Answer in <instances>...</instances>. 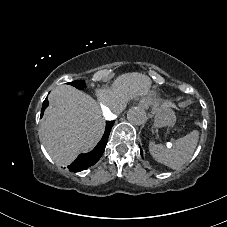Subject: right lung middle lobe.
<instances>
[{"mask_svg":"<svg viewBox=\"0 0 227 227\" xmlns=\"http://www.w3.org/2000/svg\"><path fill=\"white\" fill-rule=\"evenodd\" d=\"M78 89H83L85 87V82L83 80H78V81H73L68 83ZM48 106V102L45 100V102L43 103V107H47Z\"/></svg>","mask_w":227,"mask_h":227,"instance_id":"dd1d6c3e","label":"right lung middle lobe"}]
</instances>
